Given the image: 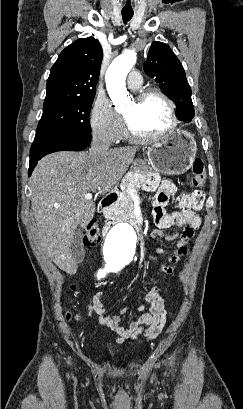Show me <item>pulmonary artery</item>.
Listing matches in <instances>:
<instances>
[{"label":"pulmonary artery","instance_id":"obj_1","mask_svg":"<svg viewBox=\"0 0 243 409\" xmlns=\"http://www.w3.org/2000/svg\"><path fill=\"white\" fill-rule=\"evenodd\" d=\"M127 84L133 90L140 88L142 85V76L140 72L131 71L127 78Z\"/></svg>","mask_w":243,"mask_h":409}]
</instances>
